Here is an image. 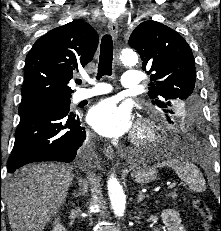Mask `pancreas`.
<instances>
[{"label":"pancreas","instance_id":"cf45deb5","mask_svg":"<svg viewBox=\"0 0 221 231\" xmlns=\"http://www.w3.org/2000/svg\"><path fill=\"white\" fill-rule=\"evenodd\" d=\"M173 199H175L177 197V194L175 192L171 193L170 195Z\"/></svg>","mask_w":221,"mask_h":231}]
</instances>
